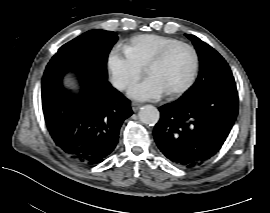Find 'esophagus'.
<instances>
[{"mask_svg": "<svg viewBox=\"0 0 270 213\" xmlns=\"http://www.w3.org/2000/svg\"><path fill=\"white\" fill-rule=\"evenodd\" d=\"M131 106L134 112L138 111L141 108V104L136 102H132Z\"/></svg>", "mask_w": 270, "mask_h": 213, "instance_id": "esophagus-1", "label": "esophagus"}]
</instances>
